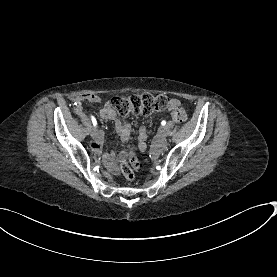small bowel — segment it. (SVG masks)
<instances>
[{"mask_svg": "<svg viewBox=\"0 0 277 277\" xmlns=\"http://www.w3.org/2000/svg\"><path fill=\"white\" fill-rule=\"evenodd\" d=\"M81 100L96 103L99 101V99L96 96H91L88 92H82L80 93L79 97L76 98L77 103L74 106L75 114L78 115L84 121H89V116L85 114L80 104V102H82ZM179 106L180 103L177 99H171L169 106L170 113L174 115L175 111L178 110ZM100 117L104 120H109L113 122L116 133L118 134L122 142H126L129 139L131 132V124L128 121H123L117 115L110 101L104 103L102 109L100 110ZM101 137V135L98 136L97 142L101 140ZM137 140L140 149L144 151L147 146V133L145 127L140 128ZM91 147L94 149L95 152L100 153L99 145L96 142H93L91 144ZM104 152H107V149H104ZM112 160L116 161L117 163H123L124 157L120 154H114L113 157L112 154H108V156L104 158V163L106 164V167L110 168L111 172H116L117 166L113 165Z\"/></svg>", "mask_w": 277, "mask_h": 277, "instance_id": "small-bowel-1", "label": "small bowel"}]
</instances>
